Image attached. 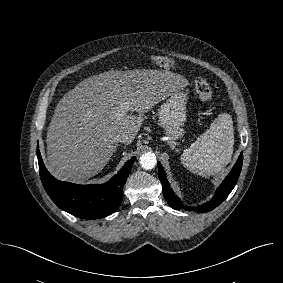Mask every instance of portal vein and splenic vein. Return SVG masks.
I'll return each mask as SVG.
<instances>
[{
	"label": "portal vein and splenic vein",
	"instance_id": "1",
	"mask_svg": "<svg viewBox=\"0 0 283 283\" xmlns=\"http://www.w3.org/2000/svg\"><path fill=\"white\" fill-rule=\"evenodd\" d=\"M128 111V107L127 106H121L120 109L117 112V116H124V114Z\"/></svg>",
	"mask_w": 283,
	"mask_h": 283
}]
</instances>
